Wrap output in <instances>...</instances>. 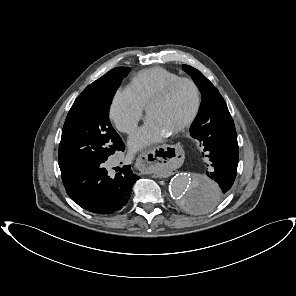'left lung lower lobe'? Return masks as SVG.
Listing matches in <instances>:
<instances>
[{
    "instance_id": "left-lung-lower-lobe-1",
    "label": "left lung lower lobe",
    "mask_w": 296,
    "mask_h": 296,
    "mask_svg": "<svg viewBox=\"0 0 296 296\" xmlns=\"http://www.w3.org/2000/svg\"><path fill=\"white\" fill-rule=\"evenodd\" d=\"M198 137L204 147L205 156L213 167L206 175L217 182V187L206 186L203 194L198 197L193 191L194 199L190 207L207 210L229 193L237 174V134L227 106L221 108L208 123L201 126Z\"/></svg>"
}]
</instances>
